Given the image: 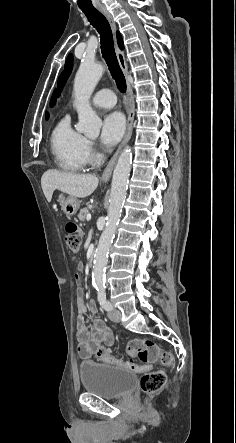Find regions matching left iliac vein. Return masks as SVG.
<instances>
[{"instance_id":"left-iliac-vein-1","label":"left iliac vein","mask_w":236,"mask_h":443,"mask_svg":"<svg viewBox=\"0 0 236 443\" xmlns=\"http://www.w3.org/2000/svg\"><path fill=\"white\" fill-rule=\"evenodd\" d=\"M108 317L111 321L118 323L121 320V313L119 310L113 309L108 312Z\"/></svg>"}]
</instances>
